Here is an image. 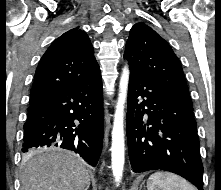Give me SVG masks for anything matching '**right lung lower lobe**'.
I'll return each mask as SVG.
<instances>
[{
  "label": "right lung lower lobe",
  "instance_id": "obj_1",
  "mask_svg": "<svg viewBox=\"0 0 221 190\" xmlns=\"http://www.w3.org/2000/svg\"><path fill=\"white\" fill-rule=\"evenodd\" d=\"M103 143L101 74L30 104L23 152L60 147L78 153L89 165L99 160Z\"/></svg>",
  "mask_w": 221,
  "mask_h": 190
}]
</instances>
